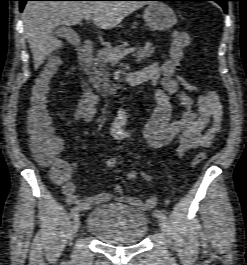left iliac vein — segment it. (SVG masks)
Instances as JSON below:
<instances>
[{
	"mask_svg": "<svg viewBox=\"0 0 247 265\" xmlns=\"http://www.w3.org/2000/svg\"><path fill=\"white\" fill-rule=\"evenodd\" d=\"M158 224H159L161 231L165 232L166 231V220L158 217Z\"/></svg>",
	"mask_w": 247,
	"mask_h": 265,
	"instance_id": "obj_1",
	"label": "left iliac vein"
}]
</instances>
